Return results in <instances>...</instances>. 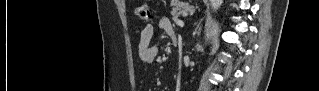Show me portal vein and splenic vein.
<instances>
[{
	"instance_id": "18ae733b",
	"label": "portal vein and splenic vein",
	"mask_w": 319,
	"mask_h": 91,
	"mask_svg": "<svg viewBox=\"0 0 319 91\" xmlns=\"http://www.w3.org/2000/svg\"><path fill=\"white\" fill-rule=\"evenodd\" d=\"M177 25L180 26V27H183V26H184V23L179 20V21H177Z\"/></svg>"
}]
</instances>
